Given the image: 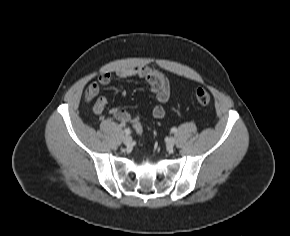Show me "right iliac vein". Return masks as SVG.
<instances>
[{
  "label": "right iliac vein",
  "mask_w": 290,
  "mask_h": 236,
  "mask_svg": "<svg viewBox=\"0 0 290 236\" xmlns=\"http://www.w3.org/2000/svg\"><path fill=\"white\" fill-rule=\"evenodd\" d=\"M122 141L127 146H130L132 144V138L129 135L123 136Z\"/></svg>",
  "instance_id": "right-iliac-vein-1"
}]
</instances>
